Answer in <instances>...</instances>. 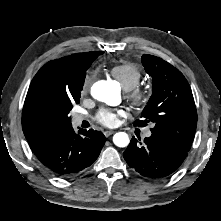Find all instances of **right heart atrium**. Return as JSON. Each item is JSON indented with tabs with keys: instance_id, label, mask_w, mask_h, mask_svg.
<instances>
[{
	"instance_id": "right-heart-atrium-1",
	"label": "right heart atrium",
	"mask_w": 221,
	"mask_h": 221,
	"mask_svg": "<svg viewBox=\"0 0 221 221\" xmlns=\"http://www.w3.org/2000/svg\"><path fill=\"white\" fill-rule=\"evenodd\" d=\"M91 82H92V75L89 74L86 76L84 83H83V87H82L83 93L88 92Z\"/></svg>"
}]
</instances>
